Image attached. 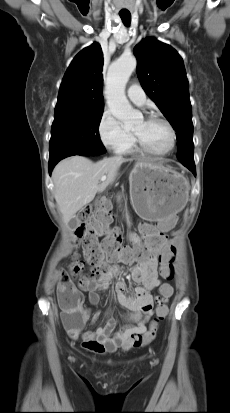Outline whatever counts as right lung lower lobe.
<instances>
[{
  "label": "right lung lower lobe",
  "mask_w": 230,
  "mask_h": 413,
  "mask_svg": "<svg viewBox=\"0 0 230 413\" xmlns=\"http://www.w3.org/2000/svg\"><path fill=\"white\" fill-rule=\"evenodd\" d=\"M106 152V151H105ZM105 152H90V151H82V152H77V153H70L67 154L63 157L57 158L55 160H51L49 161V173L51 174L52 169L54 168V166L63 158L69 157V156H73V155H81V156H96V155H101Z\"/></svg>",
  "instance_id": "1"
}]
</instances>
